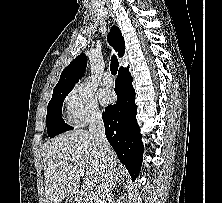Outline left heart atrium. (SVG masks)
<instances>
[{
	"mask_svg": "<svg viewBox=\"0 0 222 203\" xmlns=\"http://www.w3.org/2000/svg\"><path fill=\"white\" fill-rule=\"evenodd\" d=\"M100 98H101L102 103L107 105L113 101L114 96H113L112 92L106 90L100 94Z\"/></svg>",
	"mask_w": 222,
	"mask_h": 203,
	"instance_id": "obj_1",
	"label": "left heart atrium"
}]
</instances>
